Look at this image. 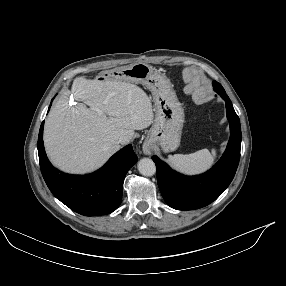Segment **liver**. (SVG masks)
<instances>
[{
	"instance_id": "obj_1",
	"label": "liver",
	"mask_w": 286,
	"mask_h": 286,
	"mask_svg": "<svg viewBox=\"0 0 286 286\" xmlns=\"http://www.w3.org/2000/svg\"><path fill=\"white\" fill-rule=\"evenodd\" d=\"M70 93L84 104L70 106ZM153 117L151 101L140 87L118 80L78 77L71 92L62 93L46 119L47 155L64 172H91L119 150L120 137L129 143L134 130L150 126Z\"/></svg>"
}]
</instances>
